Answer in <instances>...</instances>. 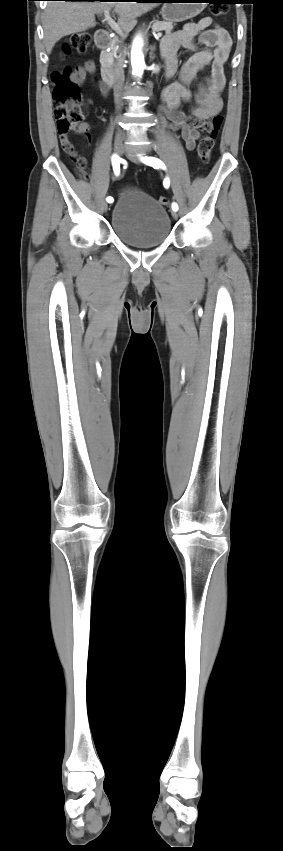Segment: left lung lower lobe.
Instances as JSON below:
<instances>
[{"instance_id": "left-lung-lower-lobe-1", "label": "left lung lower lobe", "mask_w": 283, "mask_h": 851, "mask_svg": "<svg viewBox=\"0 0 283 851\" xmlns=\"http://www.w3.org/2000/svg\"><path fill=\"white\" fill-rule=\"evenodd\" d=\"M166 1L167 0H150V2H166ZM218 3H222V2H218ZM223 3L235 4V3H239V2H236L235 0H228L227 2H223Z\"/></svg>"}]
</instances>
